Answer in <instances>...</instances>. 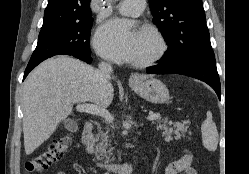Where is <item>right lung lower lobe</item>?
Wrapping results in <instances>:
<instances>
[{
	"instance_id": "right-lung-lower-lobe-1",
	"label": "right lung lower lobe",
	"mask_w": 249,
	"mask_h": 174,
	"mask_svg": "<svg viewBox=\"0 0 249 174\" xmlns=\"http://www.w3.org/2000/svg\"><path fill=\"white\" fill-rule=\"evenodd\" d=\"M63 54H66V55H72L82 61H85L86 63L90 64L92 62V58L90 56V54H79V53H63ZM54 55H58V54H53V55H48V56H45L37 61H34V62H29L28 63V66L26 67V70H25V73H24V78H26V76L28 75V73L34 68L36 67L39 63H41L42 61H44L45 59L47 58H50Z\"/></svg>"
}]
</instances>
